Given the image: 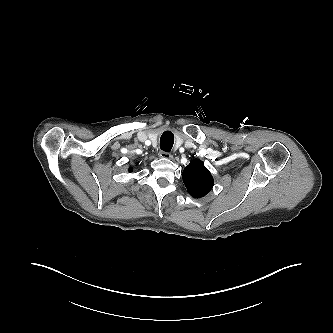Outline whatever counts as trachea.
<instances>
[{"mask_svg":"<svg viewBox=\"0 0 333 333\" xmlns=\"http://www.w3.org/2000/svg\"><path fill=\"white\" fill-rule=\"evenodd\" d=\"M174 144V137L170 131H165L160 139V148L165 151L169 152Z\"/></svg>","mask_w":333,"mask_h":333,"instance_id":"obj_1","label":"trachea"}]
</instances>
